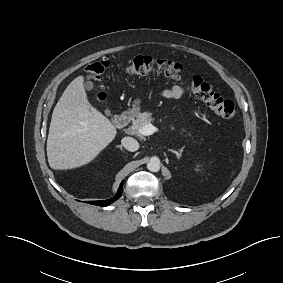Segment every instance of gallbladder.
I'll return each mask as SVG.
<instances>
[{
	"label": "gallbladder",
	"mask_w": 283,
	"mask_h": 283,
	"mask_svg": "<svg viewBox=\"0 0 283 283\" xmlns=\"http://www.w3.org/2000/svg\"><path fill=\"white\" fill-rule=\"evenodd\" d=\"M85 88H86L87 90H92V89L94 88V83L91 82V81L85 82Z\"/></svg>",
	"instance_id": "gallbladder-1"
}]
</instances>
